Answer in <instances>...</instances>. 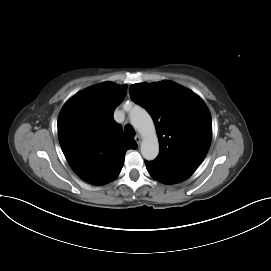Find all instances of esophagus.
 Returning a JSON list of instances; mask_svg holds the SVG:
<instances>
[{"mask_svg":"<svg viewBox=\"0 0 271 271\" xmlns=\"http://www.w3.org/2000/svg\"><path fill=\"white\" fill-rule=\"evenodd\" d=\"M134 139H135V141L137 142V144H140L141 143V136L140 135H136L135 137H134Z\"/></svg>","mask_w":271,"mask_h":271,"instance_id":"34e87169","label":"esophagus"}]
</instances>
